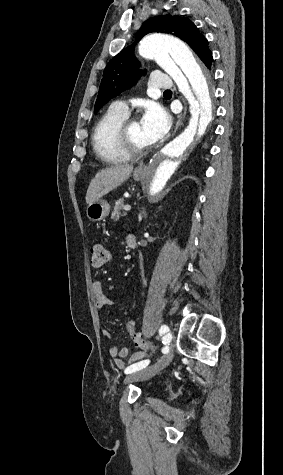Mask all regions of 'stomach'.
Returning a JSON list of instances; mask_svg holds the SVG:
<instances>
[{
	"label": "stomach",
	"mask_w": 283,
	"mask_h": 475,
	"mask_svg": "<svg viewBox=\"0 0 283 475\" xmlns=\"http://www.w3.org/2000/svg\"><path fill=\"white\" fill-rule=\"evenodd\" d=\"M145 172H133V178L136 182H143L146 180L148 176V168L145 166H139ZM110 212V206L106 200H97V202H93V204H88V208L86 210L87 218L91 220V222H100V220H104L106 216H108Z\"/></svg>",
	"instance_id": "1"
}]
</instances>
